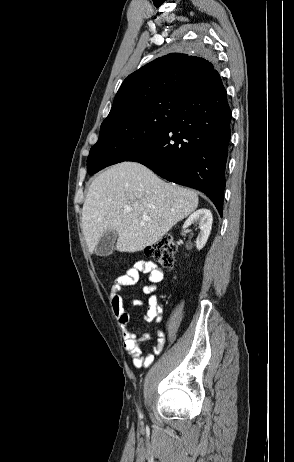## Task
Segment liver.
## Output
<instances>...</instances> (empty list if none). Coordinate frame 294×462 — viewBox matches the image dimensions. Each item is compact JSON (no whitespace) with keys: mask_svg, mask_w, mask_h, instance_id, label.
<instances>
[{"mask_svg":"<svg viewBox=\"0 0 294 462\" xmlns=\"http://www.w3.org/2000/svg\"><path fill=\"white\" fill-rule=\"evenodd\" d=\"M197 206L196 192L166 183L140 163L122 162L92 181L83 204L82 231L90 253L108 230L118 233L117 251L138 252L155 244ZM125 207L131 211L125 212Z\"/></svg>","mask_w":294,"mask_h":462,"instance_id":"1","label":"liver"}]
</instances>
